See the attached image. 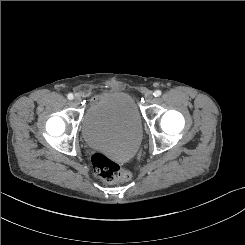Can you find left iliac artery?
Returning <instances> with one entry per match:
<instances>
[{
	"label": "left iliac artery",
	"mask_w": 245,
	"mask_h": 245,
	"mask_svg": "<svg viewBox=\"0 0 245 245\" xmlns=\"http://www.w3.org/2000/svg\"><path fill=\"white\" fill-rule=\"evenodd\" d=\"M161 94H162V92H161L160 90H156V91L153 93V95H154L155 97H159V96H161Z\"/></svg>",
	"instance_id": "obj_1"
}]
</instances>
